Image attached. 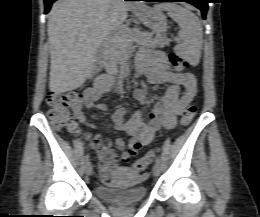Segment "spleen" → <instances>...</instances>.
Returning a JSON list of instances; mask_svg holds the SVG:
<instances>
[{
  "label": "spleen",
  "mask_w": 260,
  "mask_h": 217,
  "mask_svg": "<svg viewBox=\"0 0 260 217\" xmlns=\"http://www.w3.org/2000/svg\"><path fill=\"white\" fill-rule=\"evenodd\" d=\"M163 11L178 23L180 27L179 45L177 48L185 58H197L202 48V26L199 18L188 9L175 4L158 5Z\"/></svg>",
  "instance_id": "spleen-1"
}]
</instances>
